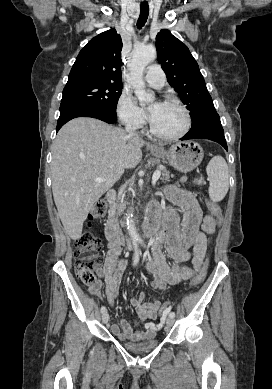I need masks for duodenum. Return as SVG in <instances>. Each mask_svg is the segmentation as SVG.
Masks as SVG:
<instances>
[{
    "label": "duodenum",
    "instance_id": "1",
    "mask_svg": "<svg viewBox=\"0 0 272 389\" xmlns=\"http://www.w3.org/2000/svg\"><path fill=\"white\" fill-rule=\"evenodd\" d=\"M117 198V191L110 189L106 193V199L111 206L114 207ZM160 216L155 210H148L146 214V220L143 226V231L147 237L154 236L159 228ZM105 235L109 242L116 243L118 245L124 244V239L121 236L120 225L114 213L111 214L105 226Z\"/></svg>",
    "mask_w": 272,
    "mask_h": 389
}]
</instances>
